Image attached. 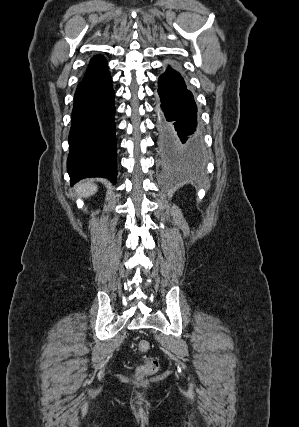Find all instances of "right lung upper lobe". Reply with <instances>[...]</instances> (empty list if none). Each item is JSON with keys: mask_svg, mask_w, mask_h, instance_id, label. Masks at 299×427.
Instances as JSON below:
<instances>
[{"mask_svg": "<svg viewBox=\"0 0 299 427\" xmlns=\"http://www.w3.org/2000/svg\"><path fill=\"white\" fill-rule=\"evenodd\" d=\"M108 72L107 62L103 56L97 55L90 61L83 80L93 79Z\"/></svg>", "mask_w": 299, "mask_h": 427, "instance_id": "1", "label": "right lung upper lobe"}]
</instances>
